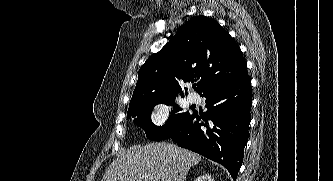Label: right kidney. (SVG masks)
I'll return each instance as SVG.
<instances>
[{
	"label": "right kidney",
	"instance_id": "ca27d5eb",
	"mask_svg": "<svg viewBox=\"0 0 333 181\" xmlns=\"http://www.w3.org/2000/svg\"><path fill=\"white\" fill-rule=\"evenodd\" d=\"M195 181H214V179L209 175H202L199 176Z\"/></svg>",
	"mask_w": 333,
	"mask_h": 181
}]
</instances>
